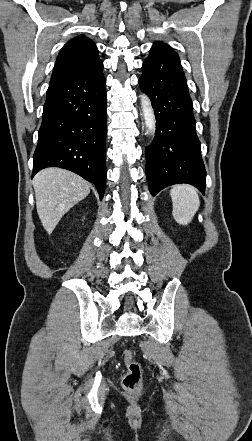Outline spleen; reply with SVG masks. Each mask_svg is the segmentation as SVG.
<instances>
[{"mask_svg":"<svg viewBox=\"0 0 252 441\" xmlns=\"http://www.w3.org/2000/svg\"><path fill=\"white\" fill-rule=\"evenodd\" d=\"M173 217L180 225H188L196 214L200 200L197 190L188 184L176 185L170 190Z\"/></svg>","mask_w":252,"mask_h":441,"instance_id":"spleen-1","label":"spleen"}]
</instances>
